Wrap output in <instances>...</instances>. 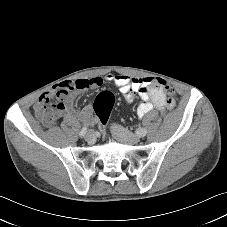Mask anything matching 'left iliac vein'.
<instances>
[{
	"label": "left iliac vein",
	"instance_id": "1",
	"mask_svg": "<svg viewBox=\"0 0 227 227\" xmlns=\"http://www.w3.org/2000/svg\"><path fill=\"white\" fill-rule=\"evenodd\" d=\"M111 132L113 136L125 144H136L140 141V137L131 133L127 129L121 127L120 125H112Z\"/></svg>",
	"mask_w": 227,
	"mask_h": 227
}]
</instances>
